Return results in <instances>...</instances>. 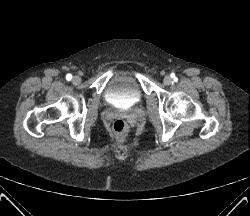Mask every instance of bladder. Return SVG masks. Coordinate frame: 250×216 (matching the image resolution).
Returning a JSON list of instances; mask_svg holds the SVG:
<instances>
[{"instance_id":"obj_1","label":"bladder","mask_w":250,"mask_h":216,"mask_svg":"<svg viewBox=\"0 0 250 216\" xmlns=\"http://www.w3.org/2000/svg\"><path fill=\"white\" fill-rule=\"evenodd\" d=\"M105 98L114 107L131 108L141 101L142 90L130 71H121L110 79Z\"/></svg>"}]
</instances>
